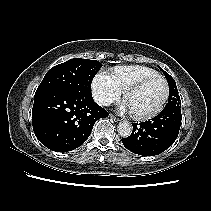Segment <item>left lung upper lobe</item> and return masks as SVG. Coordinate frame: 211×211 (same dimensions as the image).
I'll return each instance as SVG.
<instances>
[{
  "instance_id": "5c2ea615",
  "label": "left lung upper lobe",
  "mask_w": 211,
  "mask_h": 211,
  "mask_svg": "<svg viewBox=\"0 0 211 211\" xmlns=\"http://www.w3.org/2000/svg\"><path fill=\"white\" fill-rule=\"evenodd\" d=\"M161 71L164 73V75L167 78V81L169 83V99H168V103L165 106V108L166 107H175V106L181 107V102H180L181 100L178 95V90H177V86H176L174 79L163 69H161Z\"/></svg>"
}]
</instances>
